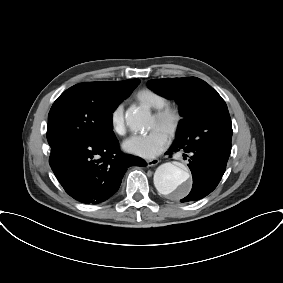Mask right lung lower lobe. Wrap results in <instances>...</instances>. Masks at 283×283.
<instances>
[{"mask_svg":"<svg viewBox=\"0 0 283 283\" xmlns=\"http://www.w3.org/2000/svg\"><path fill=\"white\" fill-rule=\"evenodd\" d=\"M49 163L65 191L87 204L112 197L128 167L146 166L143 159L123 154L115 136L103 142L77 140L54 144Z\"/></svg>","mask_w":283,"mask_h":283,"instance_id":"98d812e1","label":"right lung lower lobe"}]
</instances>
